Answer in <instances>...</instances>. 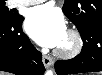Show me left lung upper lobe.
I'll list each match as a JSON object with an SVG mask.
<instances>
[{
    "mask_svg": "<svg viewBox=\"0 0 102 75\" xmlns=\"http://www.w3.org/2000/svg\"><path fill=\"white\" fill-rule=\"evenodd\" d=\"M62 11L77 29L82 25L102 24L101 0H65Z\"/></svg>",
    "mask_w": 102,
    "mask_h": 75,
    "instance_id": "1",
    "label": "left lung upper lobe"
}]
</instances>
